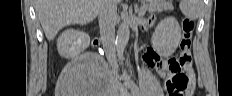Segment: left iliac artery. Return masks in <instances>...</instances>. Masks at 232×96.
<instances>
[{"label": "left iliac artery", "mask_w": 232, "mask_h": 96, "mask_svg": "<svg viewBox=\"0 0 232 96\" xmlns=\"http://www.w3.org/2000/svg\"><path fill=\"white\" fill-rule=\"evenodd\" d=\"M132 93L134 96H140L141 92L139 90V88L136 85H132Z\"/></svg>", "instance_id": "left-iliac-artery-1"}]
</instances>
